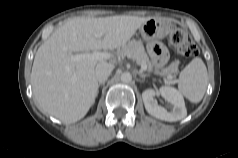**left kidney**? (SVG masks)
I'll return each mask as SVG.
<instances>
[{"label":"left kidney","instance_id":"obj_1","mask_svg":"<svg viewBox=\"0 0 238 158\" xmlns=\"http://www.w3.org/2000/svg\"><path fill=\"white\" fill-rule=\"evenodd\" d=\"M159 91L161 96L172 104V110L167 111L164 107L158 105L154 100L155 91L153 89H147L142 93L146 111L158 119L169 122L179 121L185 118L187 110L183 96L175 88L169 86H162Z\"/></svg>","mask_w":238,"mask_h":158}]
</instances>
